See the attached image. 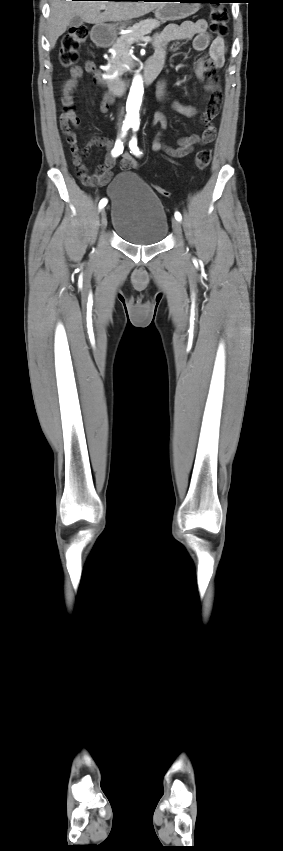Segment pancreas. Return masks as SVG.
Here are the masks:
<instances>
[{
  "label": "pancreas",
  "mask_w": 283,
  "mask_h": 851,
  "mask_svg": "<svg viewBox=\"0 0 283 851\" xmlns=\"http://www.w3.org/2000/svg\"><path fill=\"white\" fill-rule=\"evenodd\" d=\"M160 26V22L153 19H148L145 21H141L135 24L132 27V32L128 34H124L117 39V41L113 44L112 49L114 51V56L108 60L109 69L106 70L107 74H113L114 72L118 73V76H121L124 71V64L128 60V51L131 44L137 39L142 38L145 35H148L152 32L153 29ZM134 39V40H133Z\"/></svg>",
  "instance_id": "cf45deb5"
}]
</instances>
